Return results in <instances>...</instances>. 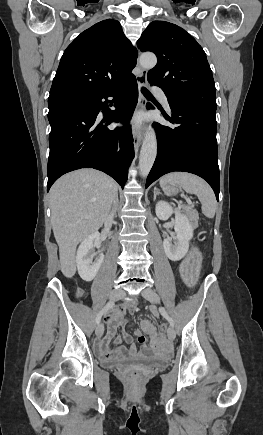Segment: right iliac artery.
Here are the masks:
<instances>
[{
	"label": "right iliac artery",
	"mask_w": 263,
	"mask_h": 435,
	"mask_svg": "<svg viewBox=\"0 0 263 435\" xmlns=\"http://www.w3.org/2000/svg\"><path fill=\"white\" fill-rule=\"evenodd\" d=\"M113 305H114V302L110 301L104 306V308L99 312V314L96 317L97 324L100 323L102 316L105 313H107L113 307Z\"/></svg>",
	"instance_id": "1"
}]
</instances>
